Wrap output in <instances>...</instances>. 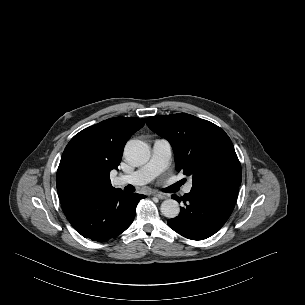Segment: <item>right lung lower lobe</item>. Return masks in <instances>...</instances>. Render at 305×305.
<instances>
[{
	"label": "right lung lower lobe",
	"mask_w": 305,
	"mask_h": 305,
	"mask_svg": "<svg viewBox=\"0 0 305 305\" xmlns=\"http://www.w3.org/2000/svg\"><path fill=\"white\" fill-rule=\"evenodd\" d=\"M145 195L126 194L120 189L92 194L62 209L71 225L83 237L107 241L124 232L133 222L135 209Z\"/></svg>",
	"instance_id": "obj_1"
}]
</instances>
